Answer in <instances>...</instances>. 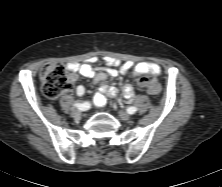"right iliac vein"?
<instances>
[{"instance_id":"1","label":"right iliac vein","mask_w":222,"mask_h":187,"mask_svg":"<svg viewBox=\"0 0 222 187\" xmlns=\"http://www.w3.org/2000/svg\"><path fill=\"white\" fill-rule=\"evenodd\" d=\"M80 116H81V111L80 110H78V109L72 110L71 117H73L75 119H78V118H80Z\"/></svg>"}]
</instances>
